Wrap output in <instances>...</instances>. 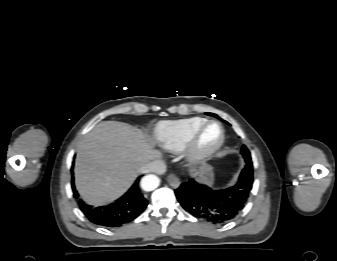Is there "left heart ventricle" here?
<instances>
[{
  "instance_id": "1",
  "label": "left heart ventricle",
  "mask_w": 337,
  "mask_h": 261,
  "mask_svg": "<svg viewBox=\"0 0 337 261\" xmlns=\"http://www.w3.org/2000/svg\"><path fill=\"white\" fill-rule=\"evenodd\" d=\"M220 137V130L216 125L207 127L199 139V147L208 149L212 147Z\"/></svg>"
}]
</instances>
